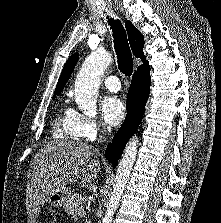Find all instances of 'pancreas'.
Returning <instances> with one entry per match:
<instances>
[{
  "label": "pancreas",
  "mask_w": 221,
  "mask_h": 223,
  "mask_svg": "<svg viewBox=\"0 0 221 223\" xmlns=\"http://www.w3.org/2000/svg\"><path fill=\"white\" fill-rule=\"evenodd\" d=\"M63 209L65 212L72 215L73 218H76L77 215L82 217L85 214L82 208L81 197L76 195H71L64 204Z\"/></svg>",
  "instance_id": "pancreas-1"
}]
</instances>
